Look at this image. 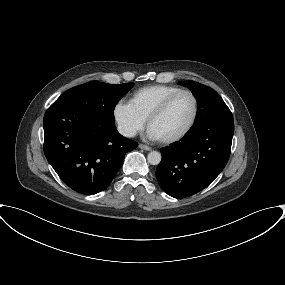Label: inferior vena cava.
<instances>
[{
    "instance_id": "inferior-vena-cava-1",
    "label": "inferior vena cava",
    "mask_w": 285,
    "mask_h": 285,
    "mask_svg": "<svg viewBox=\"0 0 285 285\" xmlns=\"http://www.w3.org/2000/svg\"><path fill=\"white\" fill-rule=\"evenodd\" d=\"M118 131L121 135L125 136V137H134L136 135V132L134 129L132 128H128V127H119Z\"/></svg>"
}]
</instances>
